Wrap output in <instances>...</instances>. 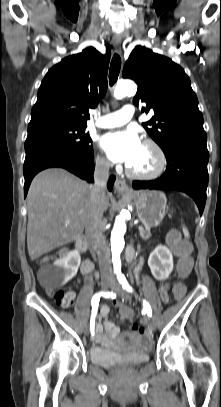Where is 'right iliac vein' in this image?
I'll use <instances>...</instances> for the list:
<instances>
[{
  "label": "right iliac vein",
  "instance_id": "right-iliac-vein-1",
  "mask_svg": "<svg viewBox=\"0 0 221 407\" xmlns=\"http://www.w3.org/2000/svg\"><path fill=\"white\" fill-rule=\"evenodd\" d=\"M109 287H111V285H110L108 282H102V283H101V289H102V291L108 290ZM84 334H85V335H88V334H89V327H88V325H86L85 328H84Z\"/></svg>",
  "mask_w": 221,
  "mask_h": 407
}]
</instances>
